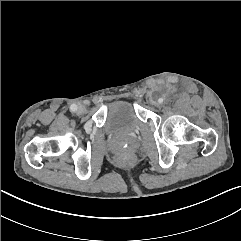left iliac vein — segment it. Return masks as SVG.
<instances>
[{
	"instance_id": "obj_1",
	"label": "left iliac vein",
	"mask_w": 241,
	"mask_h": 241,
	"mask_svg": "<svg viewBox=\"0 0 241 241\" xmlns=\"http://www.w3.org/2000/svg\"><path fill=\"white\" fill-rule=\"evenodd\" d=\"M152 104L158 106L159 104L156 101H152Z\"/></svg>"
}]
</instances>
